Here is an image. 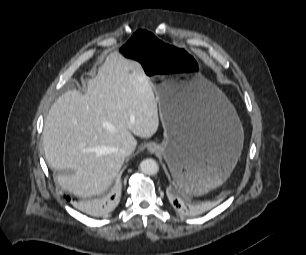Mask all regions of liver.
<instances>
[{
	"mask_svg": "<svg viewBox=\"0 0 306 255\" xmlns=\"http://www.w3.org/2000/svg\"><path fill=\"white\" fill-rule=\"evenodd\" d=\"M158 127L157 100L141 65L113 52L85 94L67 91L51 106L42 136L45 157L62 172L57 180L64 190L96 195L119 173L125 159L120 148L136 147L133 134L150 138Z\"/></svg>",
	"mask_w": 306,
	"mask_h": 255,
	"instance_id": "6515ba94",
	"label": "liver"
}]
</instances>
